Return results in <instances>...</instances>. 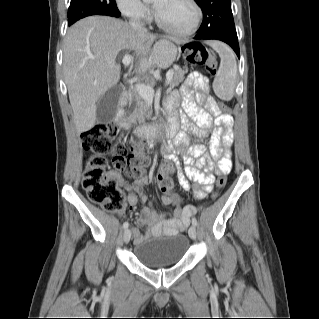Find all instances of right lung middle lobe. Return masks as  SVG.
<instances>
[{
    "mask_svg": "<svg viewBox=\"0 0 319 319\" xmlns=\"http://www.w3.org/2000/svg\"><path fill=\"white\" fill-rule=\"evenodd\" d=\"M119 13L115 0H71L67 15L68 24L70 26L91 15L114 16Z\"/></svg>",
    "mask_w": 319,
    "mask_h": 319,
    "instance_id": "dd1d6c3e",
    "label": "right lung middle lobe"
}]
</instances>
